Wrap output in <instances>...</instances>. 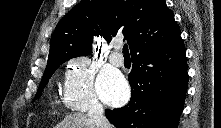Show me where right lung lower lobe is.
<instances>
[{"mask_svg": "<svg viewBox=\"0 0 221 128\" xmlns=\"http://www.w3.org/2000/svg\"><path fill=\"white\" fill-rule=\"evenodd\" d=\"M130 102L106 110L116 128H177L187 92L186 50L180 37L173 44L132 56Z\"/></svg>", "mask_w": 221, "mask_h": 128, "instance_id": "right-lung-lower-lobe-1", "label": "right lung lower lobe"}]
</instances>
